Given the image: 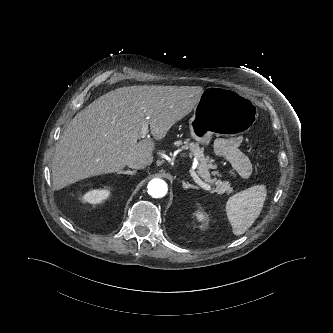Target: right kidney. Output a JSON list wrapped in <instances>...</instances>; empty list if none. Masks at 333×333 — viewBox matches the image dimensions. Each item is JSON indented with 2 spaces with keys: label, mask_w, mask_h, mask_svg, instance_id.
<instances>
[{
  "label": "right kidney",
  "mask_w": 333,
  "mask_h": 333,
  "mask_svg": "<svg viewBox=\"0 0 333 333\" xmlns=\"http://www.w3.org/2000/svg\"><path fill=\"white\" fill-rule=\"evenodd\" d=\"M109 194L110 191L107 189L91 190L83 196V200L91 204H98L107 199Z\"/></svg>",
  "instance_id": "ca27d5eb"
}]
</instances>
